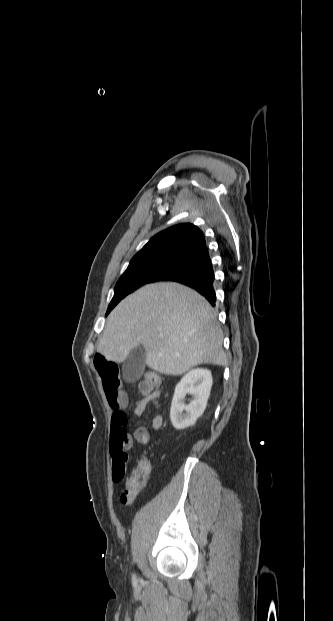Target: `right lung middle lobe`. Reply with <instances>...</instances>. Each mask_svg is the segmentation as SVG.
Wrapping results in <instances>:
<instances>
[{
  "instance_id": "dd1d6c3e",
  "label": "right lung middle lobe",
  "mask_w": 333,
  "mask_h": 621,
  "mask_svg": "<svg viewBox=\"0 0 333 621\" xmlns=\"http://www.w3.org/2000/svg\"><path fill=\"white\" fill-rule=\"evenodd\" d=\"M184 260L182 258L169 257L130 263L114 289V296L108 306L106 315L125 296L144 284L161 281L164 276L177 269Z\"/></svg>"
}]
</instances>
